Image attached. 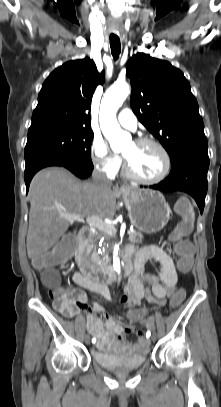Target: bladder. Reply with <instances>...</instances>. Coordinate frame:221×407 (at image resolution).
<instances>
[{
	"mask_svg": "<svg viewBox=\"0 0 221 407\" xmlns=\"http://www.w3.org/2000/svg\"><path fill=\"white\" fill-rule=\"evenodd\" d=\"M91 355L95 363L110 371L135 370L143 366L147 360L146 351L125 356L119 352L93 350Z\"/></svg>",
	"mask_w": 221,
	"mask_h": 407,
	"instance_id": "31cf9c89",
	"label": "bladder"
}]
</instances>
